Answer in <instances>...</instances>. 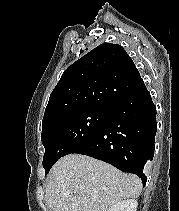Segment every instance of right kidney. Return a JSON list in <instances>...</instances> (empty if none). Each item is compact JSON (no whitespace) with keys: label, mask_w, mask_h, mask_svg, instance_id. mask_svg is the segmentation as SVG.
I'll use <instances>...</instances> for the list:
<instances>
[{"label":"right kidney","mask_w":179,"mask_h":211,"mask_svg":"<svg viewBox=\"0 0 179 211\" xmlns=\"http://www.w3.org/2000/svg\"><path fill=\"white\" fill-rule=\"evenodd\" d=\"M138 206L137 200L130 199L118 202L113 205L109 211H136Z\"/></svg>","instance_id":"1"}]
</instances>
